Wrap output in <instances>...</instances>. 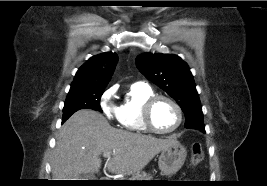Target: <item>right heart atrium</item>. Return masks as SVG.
Segmentation results:
<instances>
[{"mask_svg":"<svg viewBox=\"0 0 267 186\" xmlns=\"http://www.w3.org/2000/svg\"><path fill=\"white\" fill-rule=\"evenodd\" d=\"M115 93V89H108L103 92L100 99V107L107 118H113L116 115L115 107L112 103V97Z\"/></svg>","mask_w":267,"mask_h":186,"instance_id":"right-heart-atrium-1","label":"right heart atrium"}]
</instances>
